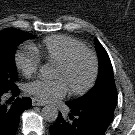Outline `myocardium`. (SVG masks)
Wrapping results in <instances>:
<instances>
[{"label": "myocardium", "mask_w": 135, "mask_h": 135, "mask_svg": "<svg viewBox=\"0 0 135 135\" xmlns=\"http://www.w3.org/2000/svg\"><path fill=\"white\" fill-rule=\"evenodd\" d=\"M82 56H86L90 59L91 64H92V71H91L90 78L88 82L85 84V86H83L80 89L69 88L71 94L75 96H82V95L87 94L95 85L98 75H99V61L97 59V56L95 55L94 52L88 49L77 50L71 53L65 60L57 64V66L60 69L67 71Z\"/></svg>", "instance_id": "myocardium-1"}]
</instances>
